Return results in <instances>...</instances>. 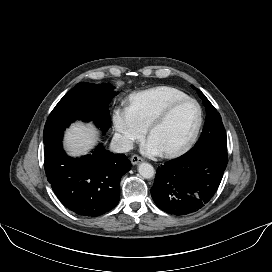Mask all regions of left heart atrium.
I'll list each match as a JSON object with an SVG mask.
<instances>
[{
  "mask_svg": "<svg viewBox=\"0 0 272 272\" xmlns=\"http://www.w3.org/2000/svg\"><path fill=\"white\" fill-rule=\"evenodd\" d=\"M143 150L148 153L149 155H159L163 153L160 146L157 144V142L150 137L144 144H143Z\"/></svg>",
  "mask_w": 272,
  "mask_h": 272,
  "instance_id": "left-heart-atrium-1",
  "label": "left heart atrium"
}]
</instances>
